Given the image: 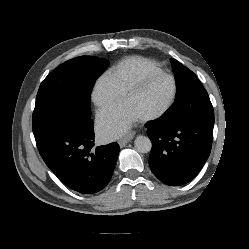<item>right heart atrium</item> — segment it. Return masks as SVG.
I'll use <instances>...</instances> for the list:
<instances>
[{"mask_svg": "<svg viewBox=\"0 0 249 249\" xmlns=\"http://www.w3.org/2000/svg\"><path fill=\"white\" fill-rule=\"evenodd\" d=\"M124 91L117 85L110 73H105L98 78L92 92V99L99 108L106 107L119 101Z\"/></svg>", "mask_w": 249, "mask_h": 249, "instance_id": "right-heart-atrium-1", "label": "right heart atrium"}]
</instances>
